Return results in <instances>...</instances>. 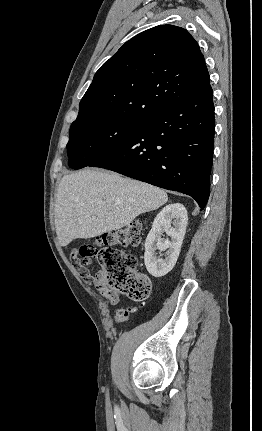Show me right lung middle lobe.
Wrapping results in <instances>:
<instances>
[{"instance_id": "1", "label": "right lung middle lobe", "mask_w": 262, "mask_h": 431, "mask_svg": "<svg viewBox=\"0 0 262 431\" xmlns=\"http://www.w3.org/2000/svg\"><path fill=\"white\" fill-rule=\"evenodd\" d=\"M142 119H109L71 125L68 165L80 169L96 162L127 139Z\"/></svg>"}]
</instances>
